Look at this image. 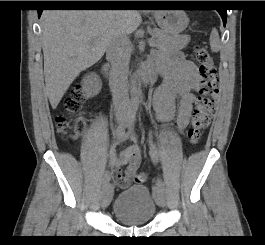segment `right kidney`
Instances as JSON below:
<instances>
[{
    "label": "right kidney",
    "instance_id": "obj_1",
    "mask_svg": "<svg viewBox=\"0 0 265 245\" xmlns=\"http://www.w3.org/2000/svg\"><path fill=\"white\" fill-rule=\"evenodd\" d=\"M102 87V83L100 78L94 74L91 73L87 75L82 82V91L86 97H92L97 95Z\"/></svg>",
    "mask_w": 265,
    "mask_h": 245
}]
</instances>
